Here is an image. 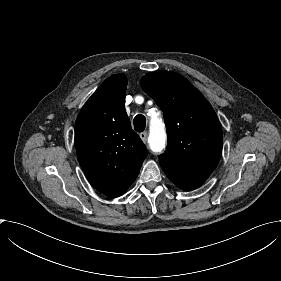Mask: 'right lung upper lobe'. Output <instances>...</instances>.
Here are the masks:
<instances>
[{
  "label": "right lung upper lobe",
  "instance_id": "right-lung-upper-lobe-1",
  "mask_svg": "<svg viewBox=\"0 0 281 281\" xmlns=\"http://www.w3.org/2000/svg\"><path fill=\"white\" fill-rule=\"evenodd\" d=\"M127 79H106L81 109L75 124L77 158L90 184L109 196L122 195L147 157L125 111Z\"/></svg>",
  "mask_w": 281,
  "mask_h": 281
}]
</instances>
